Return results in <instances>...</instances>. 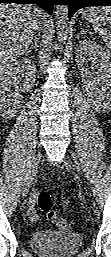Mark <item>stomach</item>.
I'll use <instances>...</instances> for the list:
<instances>
[{
  "label": "stomach",
  "mask_w": 111,
  "mask_h": 257,
  "mask_svg": "<svg viewBox=\"0 0 111 257\" xmlns=\"http://www.w3.org/2000/svg\"><path fill=\"white\" fill-rule=\"evenodd\" d=\"M90 12H91V9L85 10L83 13V18L88 20V18L90 16Z\"/></svg>",
  "instance_id": "stomach-1"
}]
</instances>
